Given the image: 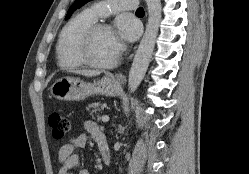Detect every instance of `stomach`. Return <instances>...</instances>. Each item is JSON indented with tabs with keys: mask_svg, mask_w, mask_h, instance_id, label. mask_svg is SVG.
I'll return each mask as SVG.
<instances>
[{
	"mask_svg": "<svg viewBox=\"0 0 249 174\" xmlns=\"http://www.w3.org/2000/svg\"><path fill=\"white\" fill-rule=\"evenodd\" d=\"M120 90L121 85L112 75H106L93 82L64 77L56 80L50 87L55 98L66 101H79L91 95L115 96Z\"/></svg>",
	"mask_w": 249,
	"mask_h": 174,
	"instance_id": "0dacf381",
	"label": "stomach"
}]
</instances>
